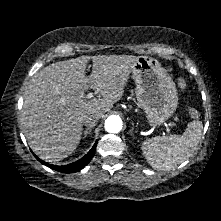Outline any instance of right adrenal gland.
I'll list each match as a JSON object with an SVG mask.
<instances>
[{
    "label": "right adrenal gland",
    "mask_w": 221,
    "mask_h": 221,
    "mask_svg": "<svg viewBox=\"0 0 221 221\" xmlns=\"http://www.w3.org/2000/svg\"><path fill=\"white\" fill-rule=\"evenodd\" d=\"M91 130H92L91 127L86 128L85 131H84V137L83 138H86L87 135H91Z\"/></svg>",
    "instance_id": "right-adrenal-gland-1"
}]
</instances>
